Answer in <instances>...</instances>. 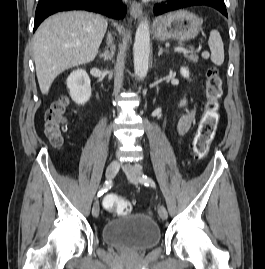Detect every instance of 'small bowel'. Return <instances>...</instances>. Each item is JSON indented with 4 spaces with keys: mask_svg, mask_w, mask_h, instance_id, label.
I'll return each instance as SVG.
<instances>
[{
    "mask_svg": "<svg viewBox=\"0 0 265 269\" xmlns=\"http://www.w3.org/2000/svg\"><path fill=\"white\" fill-rule=\"evenodd\" d=\"M194 116L195 111L191 109L179 119L176 126V133L178 136H182L188 132L194 120Z\"/></svg>",
    "mask_w": 265,
    "mask_h": 269,
    "instance_id": "1",
    "label": "small bowel"
}]
</instances>
